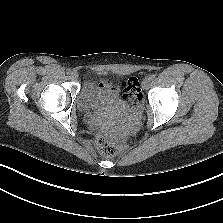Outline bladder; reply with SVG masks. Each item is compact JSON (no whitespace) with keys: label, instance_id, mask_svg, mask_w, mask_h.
Here are the masks:
<instances>
[{"label":"bladder","instance_id":"obj_1","mask_svg":"<svg viewBox=\"0 0 223 223\" xmlns=\"http://www.w3.org/2000/svg\"><path fill=\"white\" fill-rule=\"evenodd\" d=\"M77 103L84 110L97 109L106 105L124 107L125 102L110 86H103L93 80H87L80 91Z\"/></svg>","mask_w":223,"mask_h":223}]
</instances>
